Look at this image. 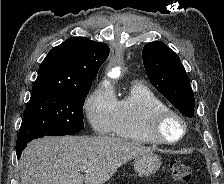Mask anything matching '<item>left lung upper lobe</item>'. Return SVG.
<instances>
[{
    "label": "left lung upper lobe",
    "mask_w": 224,
    "mask_h": 184,
    "mask_svg": "<svg viewBox=\"0 0 224 184\" xmlns=\"http://www.w3.org/2000/svg\"><path fill=\"white\" fill-rule=\"evenodd\" d=\"M143 64L156 89L184 116H194V95L179 56L163 42L147 43L142 50Z\"/></svg>",
    "instance_id": "obj_1"
}]
</instances>
